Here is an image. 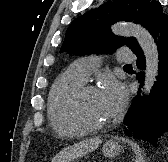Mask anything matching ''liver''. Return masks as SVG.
I'll return each mask as SVG.
<instances>
[{"label": "liver", "mask_w": 168, "mask_h": 162, "mask_svg": "<svg viewBox=\"0 0 168 162\" xmlns=\"http://www.w3.org/2000/svg\"><path fill=\"white\" fill-rule=\"evenodd\" d=\"M102 143L100 138L87 139L75 143L74 145L63 149L51 162H71L72 160L82 157L95 149Z\"/></svg>", "instance_id": "1"}]
</instances>
